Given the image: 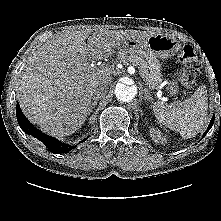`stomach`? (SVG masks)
<instances>
[{
  "label": "stomach",
  "instance_id": "obj_1",
  "mask_svg": "<svg viewBox=\"0 0 221 221\" xmlns=\"http://www.w3.org/2000/svg\"><path fill=\"white\" fill-rule=\"evenodd\" d=\"M125 52H144L151 58L167 59L173 57L181 48L180 42L170 36L152 34L144 39H131L124 43ZM167 91L175 95L179 91L176 81L169 83Z\"/></svg>",
  "mask_w": 221,
  "mask_h": 221
}]
</instances>
